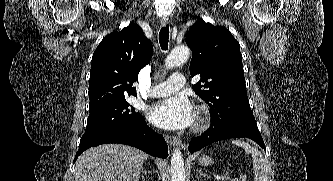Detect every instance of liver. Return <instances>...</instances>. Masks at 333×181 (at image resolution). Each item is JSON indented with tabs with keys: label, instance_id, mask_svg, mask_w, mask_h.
<instances>
[{
	"label": "liver",
	"instance_id": "1",
	"mask_svg": "<svg viewBox=\"0 0 333 181\" xmlns=\"http://www.w3.org/2000/svg\"><path fill=\"white\" fill-rule=\"evenodd\" d=\"M148 155L136 148L104 144L83 152L75 164V181H139Z\"/></svg>",
	"mask_w": 333,
	"mask_h": 181
}]
</instances>
